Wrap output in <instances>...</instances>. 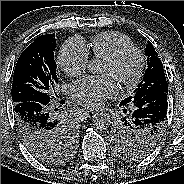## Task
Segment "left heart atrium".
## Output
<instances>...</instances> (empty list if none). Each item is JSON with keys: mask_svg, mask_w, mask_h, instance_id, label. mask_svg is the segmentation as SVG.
I'll return each instance as SVG.
<instances>
[{"mask_svg": "<svg viewBox=\"0 0 184 184\" xmlns=\"http://www.w3.org/2000/svg\"><path fill=\"white\" fill-rule=\"evenodd\" d=\"M116 80L111 75L90 76L82 78L71 85L72 97L88 108L101 106L105 99L117 94Z\"/></svg>", "mask_w": 184, "mask_h": 184, "instance_id": "obj_1", "label": "left heart atrium"}]
</instances>
